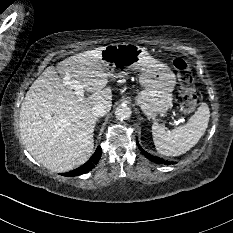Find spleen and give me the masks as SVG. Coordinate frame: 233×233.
I'll use <instances>...</instances> for the list:
<instances>
[{
    "mask_svg": "<svg viewBox=\"0 0 233 233\" xmlns=\"http://www.w3.org/2000/svg\"><path fill=\"white\" fill-rule=\"evenodd\" d=\"M209 118V107L206 103H202L185 125L173 130H167L154 122L152 135L158 153L164 156H179L189 151L204 135Z\"/></svg>",
    "mask_w": 233,
    "mask_h": 233,
    "instance_id": "obj_1",
    "label": "spleen"
}]
</instances>
